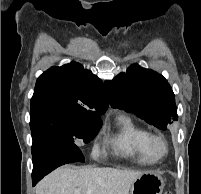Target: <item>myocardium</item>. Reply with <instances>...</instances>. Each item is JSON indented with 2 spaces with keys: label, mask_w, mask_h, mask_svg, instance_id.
Returning a JSON list of instances; mask_svg holds the SVG:
<instances>
[{
  "label": "myocardium",
  "mask_w": 201,
  "mask_h": 194,
  "mask_svg": "<svg viewBox=\"0 0 201 194\" xmlns=\"http://www.w3.org/2000/svg\"><path fill=\"white\" fill-rule=\"evenodd\" d=\"M157 143H160L163 146V151L160 153L155 150V145ZM147 149L152 157L155 159H161L168 154L169 144L164 135L160 133H149L147 139Z\"/></svg>",
  "instance_id": "f54148a6"
}]
</instances>
